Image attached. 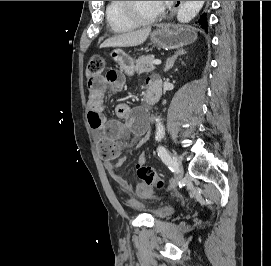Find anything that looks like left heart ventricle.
I'll return each mask as SVG.
<instances>
[{
    "mask_svg": "<svg viewBox=\"0 0 271 266\" xmlns=\"http://www.w3.org/2000/svg\"><path fill=\"white\" fill-rule=\"evenodd\" d=\"M133 2L135 11L144 18L152 17L162 9L157 1H133Z\"/></svg>",
    "mask_w": 271,
    "mask_h": 266,
    "instance_id": "1",
    "label": "left heart ventricle"
}]
</instances>
